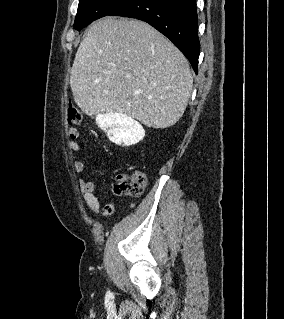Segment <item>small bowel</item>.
<instances>
[{"label":"small bowel","instance_id":"small-bowel-1","mask_svg":"<svg viewBox=\"0 0 284 319\" xmlns=\"http://www.w3.org/2000/svg\"><path fill=\"white\" fill-rule=\"evenodd\" d=\"M70 141L68 143V147L71 152L73 153H79L81 151V147L79 143L77 142V139L79 137V132L76 128H69L68 130ZM74 168L77 173H80L83 171V163L79 161L77 158L74 159ZM104 164V162L102 161ZM79 187L80 191L82 193V197L90 210L93 213H101L103 216H110L114 212V203L113 202H107L103 206L100 205L99 199L96 195V184L91 180H80L79 181Z\"/></svg>","mask_w":284,"mask_h":319}]
</instances>
